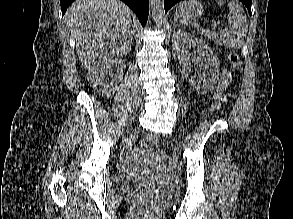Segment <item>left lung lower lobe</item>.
I'll list each match as a JSON object with an SVG mask.
<instances>
[{"label": "left lung lower lobe", "instance_id": "left-lung-lower-lobe-1", "mask_svg": "<svg viewBox=\"0 0 293 219\" xmlns=\"http://www.w3.org/2000/svg\"><path fill=\"white\" fill-rule=\"evenodd\" d=\"M181 0H164V9L167 12L173 5L180 2ZM248 9L251 15V0H240Z\"/></svg>", "mask_w": 293, "mask_h": 219}]
</instances>
